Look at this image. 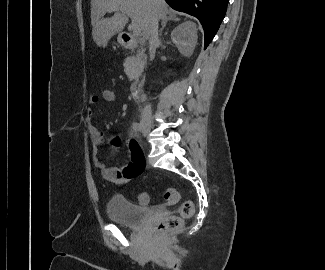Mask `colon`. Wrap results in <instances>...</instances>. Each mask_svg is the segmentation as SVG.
<instances>
[{
	"label": "colon",
	"mask_w": 325,
	"mask_h": 270,
	"mask_svg": "<svg viewBox=\"0 0 325 270\" xmlns=\"http://www.w3.org/2000/svg\"><path fill=\"white\" fill-rule=\"evenodd\" d=\"M116 98L117 95L113 88L107 87L102 91L101 99L105 103H113L116 101ZM164 198L168 205H173L179 201L180 196L176 189L168 188L164 193ZM150 199V195L146 192L141 193L138 197L139 202L143 205L148 204ZM193 212L194 205L192 201H184L179 207L178 215L168 216L160 222L156 223V225L154 226V232L162 234L180 229L184 221L186 219H189L193 215Z\"/></svg>",
	"instance_id": "obj_1"
}]
</instances>
